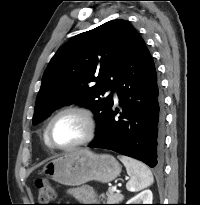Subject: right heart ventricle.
Listing matches in <instances>:
<instances>
[{"mask_svg":"<svg viewBox=\"0 0 200 205\" xmlns=\"http://www.w3.org/2000/svg\"><path fill=\"white\" fill-rule=\"evenodd\" d=\"M43 139H44V143H45V145H46L47 147H51V146L48 144V142H47V139H46V133H44V137H43Z\"/></svg>","mask_w":200,"mask_h":205,"instance_id":"right-heart-ventricle-1","label":"right heart ventricle"}]
</instances>
